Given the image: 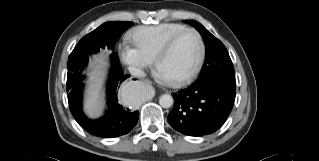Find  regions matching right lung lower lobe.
<instances>
[{
	"label": "right lung lower lobe",
	"mask_w": 319,
	"mask_h": 161,
	"mask_svg": "<svg viewBox=\"0 0 319 161\" xmlns=\"http://www.w3.org/2000/svg\"><path fill=\"white\" fill-rule=\"evenodd\" d=\"M128 77L129 75H123L119 60L113 63L107 86L108 110L102 118L96 120L89 119L82 111V82L79 81L75 87L68 90L69 108L79 125L89 133L104 138H113L130 132L138 122L139 112L124 108L117 97V89Z\"/></svg>",
	"instance_id": "98d812e1"
}]
</instances>
